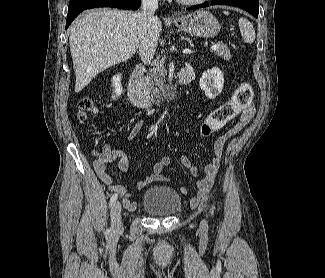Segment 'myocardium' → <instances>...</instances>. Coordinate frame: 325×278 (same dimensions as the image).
<instances>
[{"mask_svg": "<svg viewBox=\"0 0 325 278\" xmlns=\"http://www.w3.org/2000/svg\"><path fill=\"white\" fill-rule=\"evenodd\" d=\"M178 1L185 5H199L207 2L208 0H178Z\"/></svg>", "mask_w": 325, "mask_h": 278, "instance_id": "obj_1", "label": "myocardium"}]
</instances>
